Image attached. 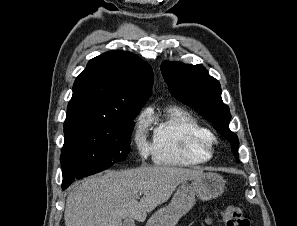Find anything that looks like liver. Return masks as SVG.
I'll list each match as a JSON object with an SVG mask.
<instances>
[{"label":"liver","instance_id":"obj_1","mask_svg":"<svg viewBox=\"0 0 297 226\" xmlns=\"http://www.w3.org/2000/svg\"><path fill=\"white\" fill-rule=\"evenodd\" d=\"M203 174L201 170L154 166L108 170L86 178L67 197L65 226H123L126 218L144 222L147 213L166 202L179 184ZM140 193L143 197L138 201Z\"/></svg>","mask_w":297,"mask_h":226}]
</instances>
